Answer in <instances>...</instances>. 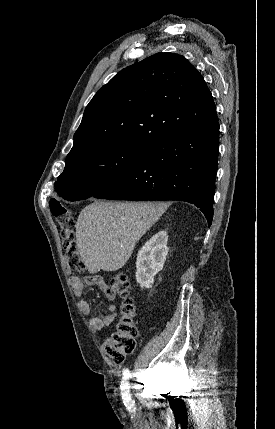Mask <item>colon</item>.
<instances>
[{
    "instance_id": "5ec220e1",
    "label": "colon",
    "mask_w": 275,
    "mask_h": 429,
    "mask_svg": "<svg viewBox=\"0 0 275 429\" xmlns=\"http://www.w3.org/2000/svg\"><path fill=\"white\" fill-rule=\"evenodd\" d=\"M50 210L57 220L61 236L65 242V256L69 268L84 271L86 266L82 260L75 241V221L69 209L61 202H50ZM110 288L121 299L120 318L113 332L104 339L102 347L106 355L115 363H123L136 347L138 330L135 319L137 316L133 299L130 297V280L124 273L112 275Z\"/></svg>"
}]
</instances>
